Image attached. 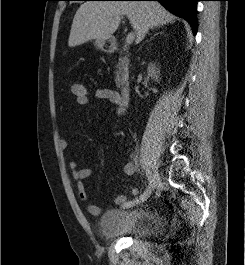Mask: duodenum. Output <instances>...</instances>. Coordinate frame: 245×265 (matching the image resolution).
<instances>
[{
    "instance_id": "410a0bca",
    "label": "duodenum",
    "mask_w": 245,
    "mask_h": 265,
    "mask_svg": "<svg viewBox=\"0 0 245 265\" xmlns=\"http://www.w3.org/2000/svg\"><path fill=\"white\" fill-rule=\"evenodd\" d=\"M107 49L110 53H114L117 50V45L115 43H110ZM120 94H121L123 103L128 104L130 102L131 91L127 84H123L121 86Z\"/></svg>"
}]
</instances>
